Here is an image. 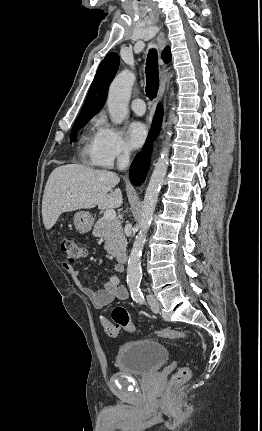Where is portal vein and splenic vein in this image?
Here are the masks:
<instances>
[{
	"label": "portal vein and splenic vein",
	"mask_w": 262,
	"mask_h": 431,
	"mask_svg": "<svg viewBox=\"0 0 262 431\" xmlns=\"http://www.w3.org/2000/svg\"><path fill=\"white\" fill-rule=\"evenodd\" d=\"M104 218L106 219V220H113V219H115L116 218V212H115V210H106L105 212H104Z\"/></svg>",
	"instance_id": "1"
}]
</instances>
